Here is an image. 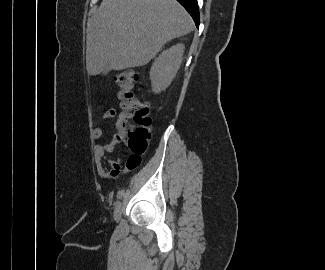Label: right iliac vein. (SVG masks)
Instances as JSON below:
<instances>
[{"instance_id": "obj_1", "label": "right iliac vein", "mask_w": 325, "mask_h": 270, "mask_svg": "<svg viewBox=\"0 0 325 270\" xmlns=\"http://www.w3.org/2000/svg\"><path fill=\"white\" fill-rule=\"evenodd\" d=\"M123 205L121 201H118L114 209V220L119 221L122 214Z\"/></svg>"}]
</instances>
